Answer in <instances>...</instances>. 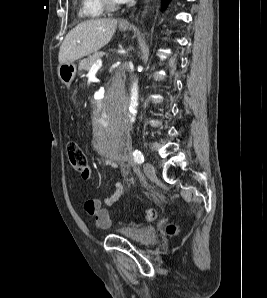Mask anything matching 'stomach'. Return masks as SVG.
<instances>
[{
	"label": "stomach",
	"mask_w": 267,
	"mask_h": 298,
	"mask_svg": "<svg viewBox=\"0 0 267 298\" xmlns=\"http://www.w3.org/2000/svg\"><path fill=\"white\" fill-rule=\"evenodd\" d=\"M128 27L120 26L121 31H126ZM76 65L73 62L60 64L58 66L57 72L58 76L62 83L65 85H70L75 78L76 75Z\"/></svg>",
	"instance_id": "obj_1"
}]
</instances>
